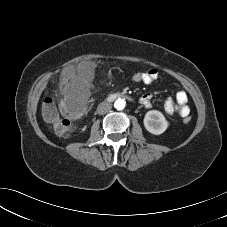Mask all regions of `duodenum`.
<instances>
[{
    "instance_id": "duodenum-1",
    "label": "duodenum",
    "mask_w": 227,
    "mask_h": 227,
    "mask_svg": "<svg viewBox=\"0 0 227 227\" xmlns=\"http://www.w3.org/2000/svg\"><path fill=\"white\" fill-rule=\"evenodd\" d=\"M118 97H126V98H128L130 100L132 99V97L130 95L126 94V93H123V92H113V93H111L108 96V100L109 101H112V100H114V99H116Z\"/></svg>"
}]
</instances>
